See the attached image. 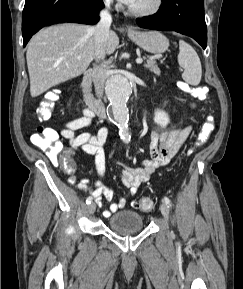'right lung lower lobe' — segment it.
Masks as SVG:
<instances>
[{"mask_svg":"<svg viewBox=\"0 0 243 289\" xmlns=\"http://www.w3.org/2000/svg\"><path fill=\"white\" fill-rule=\"evenodd\" d=\"M102 0H26L22 14L23 46L44 26L75 22L95 24Z\"/></svg>","mask_w":243,"mask_h":289,"instance_id":"98d812e1","label":"right lung lower lobe"}]
</instances>
